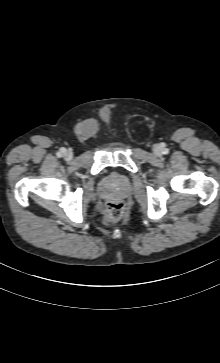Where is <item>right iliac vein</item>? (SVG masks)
<instances>
[{
	"label": "right iliac vein",
	"mask_w": 220,
	"mask_h": 363,
	"mask_svg": "<svg viewBox=\"0 0 220 363\" xmlns=\"http://www.w3.org/2000/svg\"><path fill=\"white\" fill-rule=\"evenodd\" d=\"M63 157L65 160L69 161L73 158V153L70 150H65L63 152Z\"/></svg>",
	"instance_id": "63e3f726"
}]
</instances>
